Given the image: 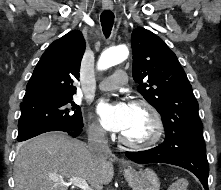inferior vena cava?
Returning <instances> with one entry per match:
<instances>
[{
    "label": "inferior vena cava",
    "mask_w": 221,
    "mask_h": 190,
    "mask_svg": "<svg viewBox=\"0 0 221 190\" xmlns=\"http://www.w3.org/2000/svg\"><path fill=\"white\" fill-rule=\"evenodd\" d=\"M87 147L90 153L99 159L108 157L111 154L105 131L99 126H95L88 131Z\"/></svg>",
    "instance_id": "1"
}]
</instances>
